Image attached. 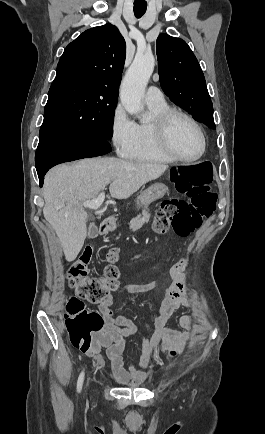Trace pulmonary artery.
<instances>
[{
	"label": "pulmonary artery",
	"instance_id": "pulmonary-artery-1",
	"mask_svg": "<svg viewBox=\"0 0 265 434\" xmlns=\"http://www.w3.org/2000/svg\"><path fill=\"white\" fill-rule=\"evenodd\" d=\"M166 94L164 91H161L159 87L149 86L145 92L144 99L146 104H155L161 103L164 100Z\"/></svg>",
	"mask_w": 265,
	"mask_h": 434
}]
</instances>
